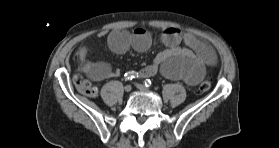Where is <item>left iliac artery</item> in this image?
I'll return each instance as SVG.
<instances>
[{"instance_id":"left-iliac-artery-1","label":"left iliac artery","mask_w":279,"mask_h":148,"mask_svg":"<svg viewBox=\"0 0 279 148\" xmlns=\"http://www.w3.org/2000/svg\"><path fill=\"white\" fill-rule=\"evenodd\" d=\"M144 84H145L146 87H150L152 83H151L150 79H146L144 81Z\"/></svg>"}]
</instances>
